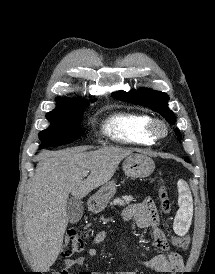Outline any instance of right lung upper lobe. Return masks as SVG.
Segmentation results:
<instances>
[{
  "label": "right lung upper lobe",
  "instance_id": "1",
  "mask_svg": "<svg viewBox=\"0 0 215 274\" xmlns=\"http://www.w3.org/2000/svg\"><path fill=\"white\" fill-rule=\"evenodd\" d=\"M57 102H66V103L71 104V105H73V106H79L78 104L75 103L76 100H72V99L58 98V99H57ZM82 103H83V106H84V105H87V102L84 101V100H82Z\"/></svg>",
  "mask_w": 215,
  "mask_h": 274
}]
</instances>
